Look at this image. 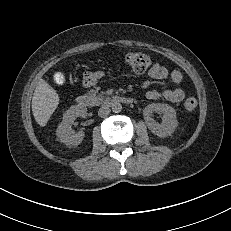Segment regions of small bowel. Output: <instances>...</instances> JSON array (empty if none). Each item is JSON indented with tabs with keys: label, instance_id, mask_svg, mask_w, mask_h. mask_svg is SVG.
Returning a JSON list of instances; mask_svg holds the SVG:
<instances>
[{
	"label": "small bowel",
	"instance_id": "1",
	"mask_svg": "<svg viewBox=\"0 0 231 231\" xmlns=\"http://www.w3.org/2000/svg\"><path fill=\"white\" fill-rule=\"evenodd\" d=\"M151 79L166 80L169 79L174 84H179L182 79V73L178 70L169 71L166 67L156 63L148 72ZM105 77L102 70L87 71L83 75V85L91 87ZM185 97V92L181 88L165 89L162 91L149 90L146 92V98L149 100H165L172 103H179Z\"/></svg>",
	"mask_w": 231,
	"mask_h": 231
}]
</instances>
